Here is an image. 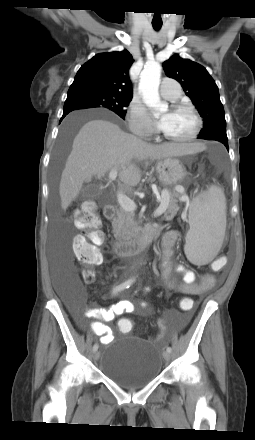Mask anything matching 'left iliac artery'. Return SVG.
I'll return each instance as SVG.
<instances>
[{
  "label": "left iliac artery",
  "mask_w": 255,
  "mask_h": 440,
  "mask_svg": "<svg viewBox=\"0 0 255 440\" xmlns=\"http://www.w3.org/2000/svg\"><path fill=\"white\" fill-rule=\"evenodd\" d=\"M168 352H171L172 351V348L171 347H167V349H166Z\"/></svg>",
  "instance_id": "left-iliac-artery-1"
}]
</instances>
